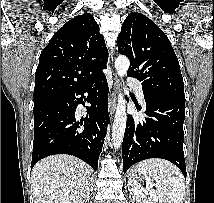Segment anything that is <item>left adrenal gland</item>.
<instances>
[{
    "instance_id": "1",
    "label": "left adrenal gland",
    "mask_w": 214,
    "mask_h": 203,
    "mask_svg": "<svg viewBox=\"0 0 214 203\" xmlns=\"http://www.w3.org/2000/svg\"><path fill=\"white\" fill-rule=\"evenodd\" d=\"M129 191H130V194H129V196L131 197V196H132V190H131V189H129Z\"/></svg>"
}]
</instances>
